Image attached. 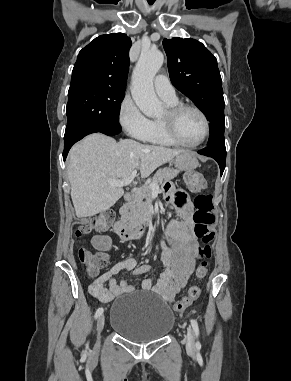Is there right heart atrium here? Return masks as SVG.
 I'll use <instances>...</instances> for the list:
<instances>
[{"label": "right heart atrium", "mask_w": 291, "mask_h": 381, "mask_svg": "<svg viewBox=\"0 0 291 381\" xmlns=\"http://www.w3.org/2000/svg\"><path fill=\"white\" fill-rule=\"evenodd\" d=\"M118 120L129 136L139 140L144 139L150 127V120L129 95H126L119 105Z\"/></svg>", "instance_id": "d8ad5b80"}]
</instances>
